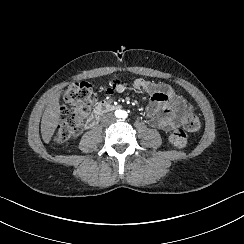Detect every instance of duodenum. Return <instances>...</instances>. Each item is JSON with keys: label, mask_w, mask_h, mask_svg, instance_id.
<instances>
[{"label": "duodenum", "mask_w": 244, "mask_h": 244, "mask_svg": "<svg viewBox=\"0 0 244 244\" xmlns=\"http://www.w3.org/2000/svg\"><path fill=\"white\" fill-rule=\"evenodd\" d=\"M120 108V105L119 104H115V103H112V102H100L97 107H96V110L94 112V115L93 117L91 118V121H90V127L92 128L96 122V119L99 118L100 116H102L106 111H109V110H116V109H119Z\"/></svg>", "instance_id": "410a0bca"}]
</instances>
